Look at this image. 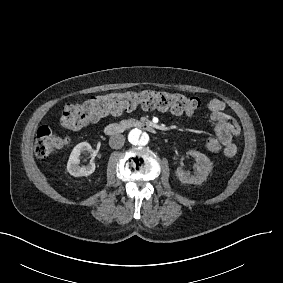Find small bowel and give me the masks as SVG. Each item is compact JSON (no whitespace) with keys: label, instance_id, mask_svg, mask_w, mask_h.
<instances>
[{"label":"small bowel","instance_id":"1","mask_svg":"<svg viewBox=\"0 0 283 283\" xmlns=\"http://www.w3.org/2000/svg\"><path fill=\"white\" fill-rule=\"evenodd\" d=\"M207 108L210 119L214 124V131L217 138L224 145V155L233 158L238 152L236 138L240 134V126L228 112L226 104L219 99H212L208 102Z\"/></svg>","mask_w":283,"mask_h":283}]
</instances>
